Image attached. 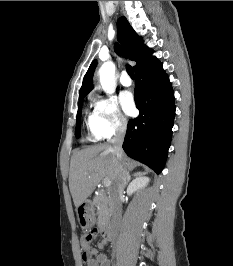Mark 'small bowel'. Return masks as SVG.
I'll return each mask as SVG.
<instances>
[{
    "label": "small bowel",
    "instance_id": "c3829d8e",
    "mask_svg": "<svg viewBox=\"0 0 233 266\" xmlns=\"http://www.w3.org/2000/svg\"><path fill=\"white\" fill-rule=\"evenodd\" d=\"M108 241L105 239L101 240L97 247H89L88 243L82 240V247L86 249L87 256L82 255L83 260L86 262L87 266H110V261L108 257L99 253V249H103L107 246Z\"/></svg>",
    "mask_w": 233,
    "mask_h": 266
}]
</instances>
